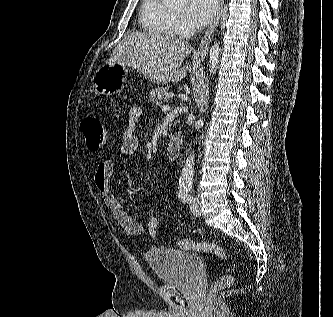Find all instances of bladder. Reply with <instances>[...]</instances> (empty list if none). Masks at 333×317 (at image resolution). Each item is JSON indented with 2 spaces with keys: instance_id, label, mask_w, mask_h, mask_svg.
<instances>
[{
  "instance_id": "obj_1",
  "label": "bladder",
  "mask_w": 333,
  "mask_h": 317,
  "mask_svg": "<svg viewBox=\"0 0 333 317\" xmlns=\"http://www.w3.org/2000/svg\"><path fill=\"white\" fill-rule=\"evenodd\" d=\"M145 258L156 279L166 285H189L201 271L200 256L169 247L149 249Z\"/></svg>"
}]
</instances>
